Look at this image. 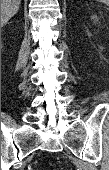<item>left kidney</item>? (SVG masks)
<instances>
[{"label": "left kidney", "mask_w": 109, "mask_h": 170, "mask_svg": "<svg viewBox=\"0 0 109 170\" xmlns=\"http://www.w3.org/2000/svg\"><path fill=\"white\" fill-rule=\"evenodd\" d=\"M92 19L94 20V22H98V18H97L96 15H94V16L92 17Z\"/></svg>", "instance_id": "5707ae66"}]
</instances>
